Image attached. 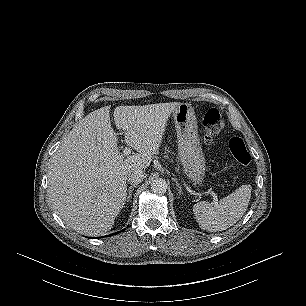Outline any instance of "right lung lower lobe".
<instances>
[{"label":"right lung lower lobe","mask_w":306,"mask_h":306,"mask_svg":"<svg viewBox=\"0 0 306 306\" xmlns=\"http://www.w3.org/2000/svg\"><path fill=\"white\" fill-rule=\"evenodd\" d=\"M124 230H125V229H123L122 231H124ZM122 231H120V232H122ZM117 233H119V232L113 233L112 235H115V234H117ZM109 236H111V234H110Z\"/></svg>","instance_id":"98d812e1"}]
</instances>
